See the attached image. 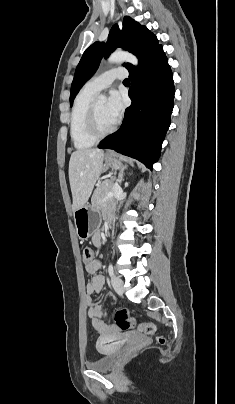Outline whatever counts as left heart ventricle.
Here are the masks:
<instances>
[{
	"label": "left heart ventricle",
	"instance_id": "left-heart-ventricle-1",
	"mask_svg": "<svg viewBox=\"0 0 235 404\" xmlns=\"http://www.w3.org/2000/svg\"><path fill=\"white\" fill-rule=\"evenodd\" d=\"M95 111L97 115L98 126L101 131H105L113 125V123L106 115L104 102L95 103Z\"/></svg>",
	"mask_w": 235,
	"mask_h": 404
}]
</instances>
